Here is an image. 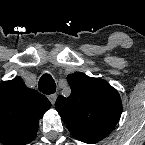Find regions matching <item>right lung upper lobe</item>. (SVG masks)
Listing matches in <instances>:
<instances>
[{"mask_svg":"<svg viewBox=\"0 0 145 145\" xmlns=\"http://www.w3.org/2000/svg\"><path fill=\"white\" fill-rule=\"evenodd\" d=\"M50 101L28 88L21 77L0 83V143L26 145L34 140Z\"/></svg>","mask_w":145,"mask_h":145,"instance_id":"obj_1","label":"right lung upper lobe"}]
</instances>
